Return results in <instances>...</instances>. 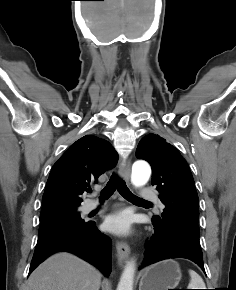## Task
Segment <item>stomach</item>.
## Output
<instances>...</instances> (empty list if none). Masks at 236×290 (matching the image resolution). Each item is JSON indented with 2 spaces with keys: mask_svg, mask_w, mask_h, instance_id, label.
I'll return each mask as SVG.
<instances>
[{
  "mask_svg": "<svg viewBox=\"0 0 236 290\" xmlns=\"http://www.w3.org/2000/svg\"><path fill=\"white\" fill-rule=\"evenodd\" d=\"M181 276V270L176 261H161L145 270L139 283V290L176 289Z\"/></svg>",
  "mask_w": 236,
  "mask_h": 290,
  "instance_id": "1",
  "label": "stomach"
}]
</instances>
